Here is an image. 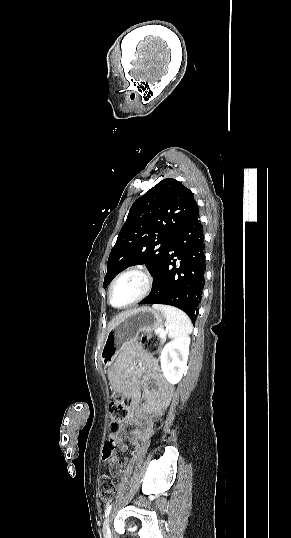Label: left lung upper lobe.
Returning a JSON list of instances; mask_svg holds the SVG:
<instances>
[{
    "label": "left lung upper lobe",
    "instance_id": "5c2ea615",
    "mask_svg": "<svg viewBox=\"0 0 291 538\" xmlns=\"http://www.w3.org/2000/svg\"><path fill=\"white\" fill-rule=\"evenodd\" d=\"M197 211L193 193L173 178L160 181L138 198L110 252L104 288L134 264H145L154 275L174 236Z\"/></svg>",
    "mask_w": 291,
    "mask_h": 538
}]
</instances>
